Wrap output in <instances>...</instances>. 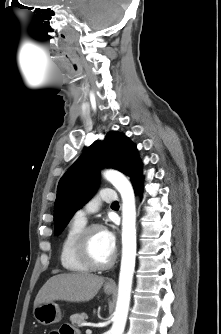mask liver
Listing matches in <instances>:
<instances>
[{"instance_id":"liver-1","label":"liver","mask_w":221,"mask_h":334,"mask_svg":"<svg viewBox=\"0 0 221 334\" xmlns=\"http://www.w3.org/2000/svg\"><path fill=\"white\" fill-rule=\"evenodd\" d=\"M104 278L90 273H66L51 277L39 290L34 308L55 300L85 302L93 299Z\"/></svg>"}]
</instances>
